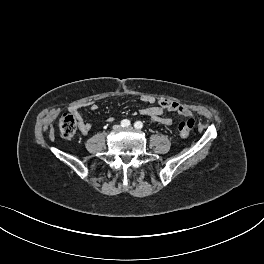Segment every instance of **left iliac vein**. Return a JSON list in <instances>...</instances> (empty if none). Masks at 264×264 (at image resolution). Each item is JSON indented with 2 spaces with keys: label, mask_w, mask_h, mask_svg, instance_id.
<instances>
[{
  "label": "left iliac vein",
  "mask_w": 264,
  "mask_h": 264,
  "mask_svg": "<svg viewBox=\"0 0 264 264\" xmlns=\"http://www.w3.org/2000/svg\"><path fill=\"white\" fill-rule=\"evenodd\" d=\"M128 129H129V130H132L133 128L130 126V127H128Z\"/></svg>",
  "instance_id": "left-iliac-vein-1"
}]
</instances>
